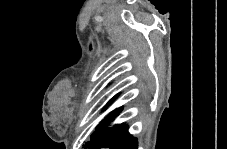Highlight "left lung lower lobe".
Instances as JSON below:
<instances>
[{
    "instance_id": "1",
    "label": "left lung lower lobe",
    "mask_w": 227,
    "mask_h": 149,
    "mask_svg": "<svg viewBox=\"0 0 227 149\" xmlns=\"http://www.w3.org/2000/svg\"><path fill=\"white\" fill-rule=\"evenodd\" d=\"M122 111V107L113 110L96 127L85 147L91 149L109 147L113 149H137V139L128 132V125L115 124L108 127Z\"/></svg>"
}]
</instances>
